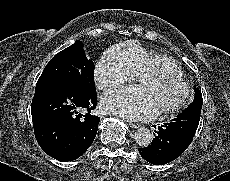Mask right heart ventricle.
I'll list each match as a JSON object with an SVG mask.
<instances>
[{"instance_id":"obj_1","label":"right heart ventricle","mask_w":230,"mask_h":181,"mask_svg":"<svg viewBox=\"0 0 230 181\" xmlns=\"http://www.w3.org/2000/svg\"><path fill=\"white\" fill-rule=\"evenodd\" d=\"M107 59L130 76L158 71L182 77L181 69L171 57L150 51L138 41H128L113 47L108 51Z\"/></svg>"}]
</instances>
